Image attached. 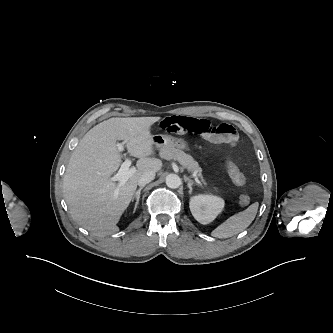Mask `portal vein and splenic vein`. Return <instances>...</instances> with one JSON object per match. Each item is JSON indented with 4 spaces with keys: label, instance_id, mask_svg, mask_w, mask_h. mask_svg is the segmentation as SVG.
Returning a JSON list of instances; mask_svg holds the SVG:
<instances>
[{
    "label": "portal vein and splenic vein",
    "instance_id": "1",
    "mask_svg": "<svg viewBox=\"0 0 333 333\" xmlns=\"http://www.w3.org/2000/svg\"><path fill=\"white\" fill-rule=\"evenodd\" d=\"M124 144H125V142L118 143L117 144V149L119 151H123L124 150ZM130 166H131V161L128 160V159L125 160V162H123L121 164V167L118 170V172L116 173V175L111 177V180L112 181H119V186L123 185L135 173V168H130ZM194 177H195V180L197 182H199L196 175H194Z\"/></svg>",
    "mask_w": 333,
    "mask_h": 333
}]
</instances>
